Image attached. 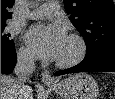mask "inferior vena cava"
<instances>
[{
  "instance_id": "inferior-vena-cava-1",
  "label": "inferior vena cava",
  "mask_w": 115,
  "mask_h": 99,
  "mask_svg": "<svg viewBox=\"0 0 115 99\" xmlns=\"http://www.w3.org/2000/svg\"><path fill=\"white\" fill-rule=\"evenodd\" d=\"M35 63L33 56L21 52L17 56V63L14 68L15 78V99H24L28 94L29 88L25 86L26 79L34 72Z\"/></svg>"
}]
</instances>
